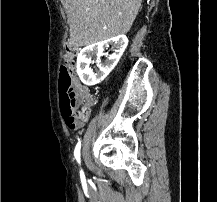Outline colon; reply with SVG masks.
Here are the masks:
<instances>
[{
    "instance_id": "5ec220e1",
    "label": "colon",
    "mask_w": 217,
    "mask_h": 202,
    "mask_svg": "<svg viewBox=\"0 0 217 202\" xmlns=\"http://www.w3.org/2000/svg\"><path fill=\"white\" fill-rule=\"evenodd\" d=\"M78 47H66V55H63L62 64L65 67L60 68L59 102L62 104L61 117H66V124L69 129L84 128V123H79L81 112L76 110V103H81V108H88V103L94 102L93 93H76L82 91L80 80H76V72L80 67L79 63H73L74 55H77ZM75 98V99H74Z\"/></svg>"
}]
</instances>
